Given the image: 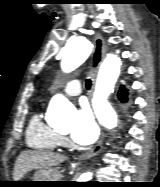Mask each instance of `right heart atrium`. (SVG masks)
<instances>
[{"label":"right heart atrium","instance_id":"obj_1","mask_svg":"<svg viewBox=\"0 0 160 187\" xmlns=\"http://www.w3.org/2000/svg\"><path fill=\"white\" fill-rule=\"evenodd\" d=\"M60 140H61V145L64 146L68 145V140L65 137L60 136Z\"/></svg>","mask_w":160,"mask_h":187}]
</instances>
